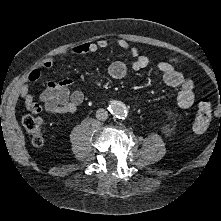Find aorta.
<instances>
[{
	"label": "aorta",
	"mask_w": 221,
	"mask_h": 221,
	"mask_svg": "<svg viewBox=\"0 0 221 221\" xmlns=\"http://www.w3.org/2000/svg\"><path fill=\"white\" fill-rule=\"evenodd\" d=\"M111 112L118 118H124L126 116V110L119 104L113 103L110 106Z\"/></svg>",
	"instance_id": "obj_1"
}]
</instances>
